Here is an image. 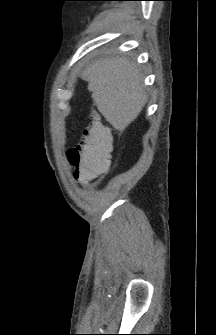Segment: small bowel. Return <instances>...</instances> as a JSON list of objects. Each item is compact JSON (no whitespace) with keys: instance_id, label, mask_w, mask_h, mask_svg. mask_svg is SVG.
I'll use <instances>...</instances> for the list:
<instances>
[{"instance_id":"obj_1","label":"small bowel","mask_w":216,"mask_h":335,"mask_svg":"<svg viewBox=\"0 0 216 335\" xmlns=\"http://www.w3.org/2000/svg\"><path fill=\"white\" fill-rule=\"evenodd\" d=\"M103 173V172H100V174ZM75 175H76V172H75ZM79 181L83 184H86L88 182H90L93 178H78Z\"/></svg>"}]
</instances>
